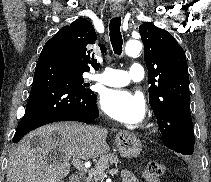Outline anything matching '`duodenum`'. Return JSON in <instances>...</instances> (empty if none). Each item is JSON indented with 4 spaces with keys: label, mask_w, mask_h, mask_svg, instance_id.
I'll list each match as a JSON object with an SVG mask.
<instances>
[{
    "label": "duodenum",
    "mask_w": 211,
    "mask_h": 182,
    "mask_svg": "<svg viewBox=\"0 0 211 182\" xmlns=\"http://www.w3.org/2000/svg\"><path fill=\"white\" fill-rule=\"evenodd\" d=\"M80 176L78 174H74L69 178V182H80Z\"/></svg>",
    "instance_id": "1"
}]
</instances>
